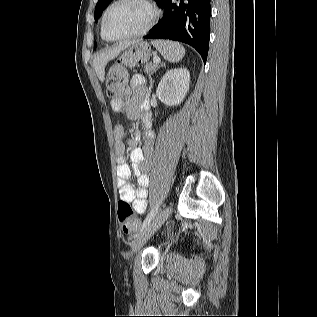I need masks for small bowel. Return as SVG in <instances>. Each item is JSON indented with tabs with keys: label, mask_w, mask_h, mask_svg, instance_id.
<instances>
[{
	"label": "small bowel",
	"mask_w": 317,
	"mask_h": 317,
	"mask_svg": "<svg viewBox=\"0 0 317 317\" xmlns=\"http://www.w3.org/2000/svg\"><path fill=\"white\" fill-rule=\"evenodd\" d=\"M111 108L116 113L124 112L131 120H140L144 128V145L142 148L134 147L130 152L131 166L126 163L125 150L133 147L140 135L126 137L124 127L116 125L113 130L115 140V154L117 163L118 186L121 199L132 206L136 213L143 214L147 208V190L149 187L148 171L150 164L145 157L153 154L154 133L151 130L150 116L148 113V90L145 80L140 75H135L130 81L128 99L123 101L113 98ZM132 173L137 177V187L127 182Z\"/></svg>",
	"instance_id": "small-bowel-1"
}]
</instances>
